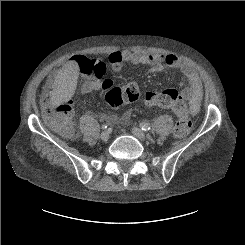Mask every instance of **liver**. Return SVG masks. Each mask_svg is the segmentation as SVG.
Segmentation results:
<instances>
[{
    "mask_svg": "<svg viewBox=\"0 0 245 245\" xmlns=\"http://www.w3.org/2000/svg\"><path fill=\"white\" fill-rule=\"evenodd\" d=\"M78 73L79 67L75 61L67 62L58 72L50 95L53 106H58L73 96Z\"/></svg>",
    "mask_w": 245,
    "mask_h": 245,
    "instance_id": "liver-1",
    "label": "liver"
}]
</instances>
